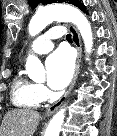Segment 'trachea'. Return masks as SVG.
<instances>
[{"label":"trachea","mask_w":117,"mask_h":136,"mask_svg":"<svg viewBox=\"0 0 117 136\" xmlns=\"http://www.w3.org/2000/svg\"><path fill=\"white\" fill-rule=\"evenodd\" d=\"M66 39H67V40H72L71 34H67V35H66Z\"/></svg>","instance_id":"1"}]
</instances>
